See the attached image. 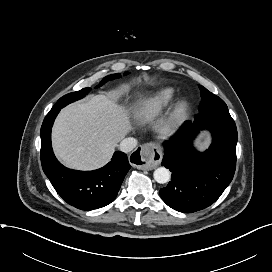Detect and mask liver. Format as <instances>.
<instances>
[{
	"label": "liver",
	"instance_id": "obj_1",
	"mask_svg": "<svg viewBox=\"0 0 272 272\" xmlns=\"http://www.w3.org/2000/svg\"><path fill=\"white\" fill-rule=\"evenodd\" d=\"M131 130L129 111L117 103L116 95L99 94L61 110L52 129V145L65 166L94 170L110 161L118 142ZM158 132L165 138L172 131L163 126Z\"/></svg>",
	"mask_w": 272,
	"mask_h": 272
}]
</instances>
